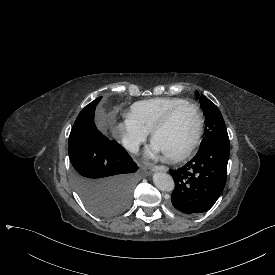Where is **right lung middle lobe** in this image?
<instances>
[{
  "mask_svg": "<svg viewBox=\"0 0 275 275\" xmlns=\"http://www.w3.org/2000/svg\"><path fill=\"white\" fill-rule=\"evenodd\" d=\"M101 98L79 113L68 152L72 181L80 197L95 214L111 217L128 208L142 173L120 144L97 130L94 112Z\"/></svg>",
  "mask_w": 275,
  "mask_h": 275,
  "instance_id": "1",
  "label": "right lung middle lobe"
}]
</instances>
